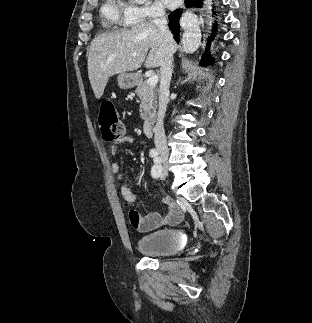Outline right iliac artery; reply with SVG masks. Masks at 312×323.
I'll return each mask as SVG.
<instances>
[{
  "instance_id": "obj_1",
  "label": "right iliac artery",
  "mask_w": 312,
  "mask_h": 323,
  "mask_svg": "<svg viewBox=\"0 0 312 323\" xmlns=\"http://www.w3.org/2000/svg\"><path fill=\"white\" fill-rule=\"evenodd\" d=\"M154 163H155V166L161 171L162 160L160 158H156V159H154Z\"/></svg>"
}]
</instances>
